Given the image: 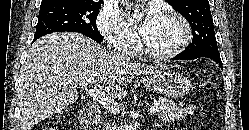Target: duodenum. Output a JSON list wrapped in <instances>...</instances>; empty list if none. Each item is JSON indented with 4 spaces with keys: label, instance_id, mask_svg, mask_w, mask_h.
<instances>
[{
    "label": "duodenum",
    "instance_id": "duodenum-1",
    "mask_svg": "<svg viewBox=\"0 0 249 130\" xmlns=\"http://www.w3.org/2000/svg\"><path fill=\"white\" fill-rule=\"evenodd\" d=\"M99 114L98 107L94 104H87L81 112L80 130H92Z\"/></svg>",
    "mask_w": 249,
    "mask_h": 130
}]
</instances>
